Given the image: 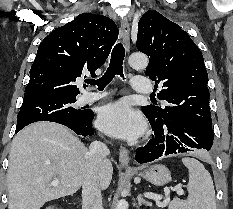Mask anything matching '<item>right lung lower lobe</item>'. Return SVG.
Returning <instances> with one entry per match:
<instances>
[{
  "mask_svg": "<svg viewBox=\"0 0 233 209\" xmlns=\"http://www.w3.org/2000/svg\"><path fill=\"white\" fill-rule=\"evenodd\" d=\"M94 119V113L92 111H86V115L83 119L73 122V123H65L62 125L67 126L72 129L77 135L85 138L86 136H90L94 134L92 129V120ZM25 127V126H24ZM21 126L16 127L15 133H18L22 128Z\"/></svg>",
  "mask_w": 233,
  "mask_h": 209,
  "instance_id": "obj_1",
  "label": "right lung lower lobe"
}]
</instances>
